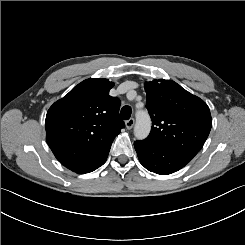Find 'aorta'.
Segmentation results:
<instances>
[{"mask_svg":"<svg viewBox=\"0 0 245 245\" xmlns=\"http://www.w3.org/2000/svg\"><path fill=\"white\" fill-rule=\"evenodd\" d=\"M151 129V120L149 114L144 111L136 113V124L134 127V135L137 139H144L148 136Z\"/></svg>","mask_w":245,"mask_h":245,"instance_id":"aorta-1","label":"aorta"}]
</instances>
